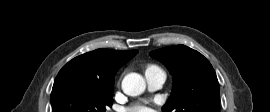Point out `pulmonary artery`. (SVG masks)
I'll use <instances>...</instances> for the list:
<instances>
[{"label": "pulmonary artery", "instance_id": "1", "mask_svg": "<svg viewBox=\"0 0 270 112\" xmlns=\"http://www.w3.org/2000/svg\"><path fill=\"white\" fill-rule=\"evenodd\" d=\"M145 79L148 89L155 91L160 89L165 83L166 73L160 68L149 69L145 71Z\"/></svg>", "mask_w": 270, "mask_h": 112}]
</instances>
